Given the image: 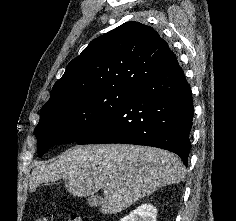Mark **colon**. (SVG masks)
<instances>
[{"label":"colon","instance_id":"5ec220e1","mask_svg":"<svg viewBox=\"0 0 236 221\" xmlns=\"http://www.w3.org/2000/svg\"><path fill=\"white\" fill-rule=\"evenodd\" d=\"M35 221H53V217L50 214H47L41 218L36 219ZM67 221H82L79 216H71Z\"/></svg>","mask_w":236,"mask_h":221}]
</instances>
